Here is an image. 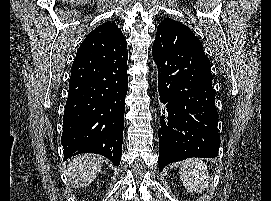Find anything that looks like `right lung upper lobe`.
Instances as JSON below:
<instances>
[{
	"label": "right lung upper lobe",
	"instance_id": "right-lung-upper-lobe-1",
	"mask_svg": "<svg viewBox=\"0 0 271 201\" xmlns=\"http://www.w3.org/2000/svg\"><path fill=\"white\" fill-rule=\"evenodd\" d=\"M98 37H111L118 40V42L124 44L126 43V40L121 32V29H119L115 23H112L110 21L105 22L104 24L98 26L95 30L90 32L86 39L87 38L95 39Z\"/></svg>",
	"mask_w": 271,
	"mask_h": 201
}]
</instances>
